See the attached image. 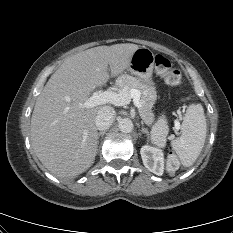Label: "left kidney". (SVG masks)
<instances>
[{
  "instance_id": "left-kidney-1",
  "label": "left kidney",
  "mask_w": 233,
  "mask_h": 233,
  "mask_svg": "<svg viewBox=\"0 0 233 233\" xmlns=\"http://www.w3.org/2000/svg\"><path fill=\"white\" fill-rule=\"evenodd\" d=\"M144 166L152 173L161 176L164 172V154L159 148L144 145L140 150Z\"/></svg>"
}]
</instances>
